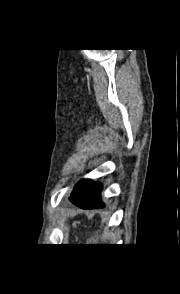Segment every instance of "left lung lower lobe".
<instances>
[{
	"label": "left lung lower lobe",
	"instance_id": "0a47b994",
	"mask_svg": "<svg viewBox=\"0 0 180 294\" xmlns=\"http://www.w3.org/2000/svg\"><path fill=\"white\" fill-rule=\"evenodd\" d=\"M100 183H94L91 180H81L71 193V201L83 209H92L103 207L100 200Z\"/></svg>",
	"mask_w": 180,
	"mask_h": 294
}]
</instances>
